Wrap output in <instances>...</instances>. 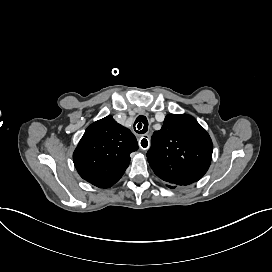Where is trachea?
I'll return each instance as SVG.
<instances>
[{
    "label": "trachea",
    "instance_id": "1",
    "mask_svg": "<svg viewBox=\"0 0 272 272\" xmlns=\"http://www.w3.org/2000/svg\"><path fill=\"white\" fill-rule=\"evenodd\" d=\"M138 123L137 127L135 125ZM134 130L139 134H144L148 130V121L145 116H139L134 123Z\"/></svg>",
    "mask_w": 272,
    "mask_h": 272
}]
</instances>
